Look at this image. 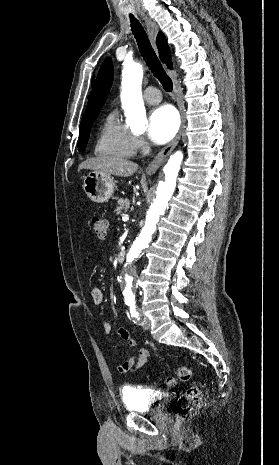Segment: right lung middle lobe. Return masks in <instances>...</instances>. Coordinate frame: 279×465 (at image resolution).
<instances>
[{
  "instance_id": "dd1d6c3e",
  "label": "right lung middle lobe",
  "mask_w": 279,
  "mask_h": 465,
  "mask_svg": "<svg viewBox=\"0 0 279 465\" xmlns=\"http://www.w3.org/2000/svg\"><path fill=\"white\" fill-rule=\"evenodd\" d=\"M93 122L90 125H88V126H86L84 128H79V138H78L77 146H78L80 151L85 150L87 141L89 139L90 129L92 127Z\"/></svg>"
}]
</instances>
